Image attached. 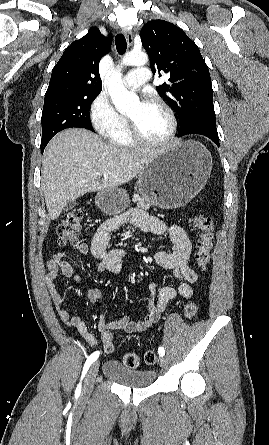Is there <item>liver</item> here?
I'll return each instance as SVG.
<instances>
[{
  "label": "liver",
  "mask_w": 269,
  "mask_h": 445,
  "mask_svg": "<svg viewBox=\"0 0 269 445\" xmlns=\"http://www.w3.org/2000/svg\"><path fill=\"white\" fill-rule=\"evenodd\" d=\"M162 150L107 144L84 129L60 132L43 154L42 189L49 217L57 219L68 201L88 192L131 181Z\"/></svg>",
  "instance_id": "1"
}]
</instances>
